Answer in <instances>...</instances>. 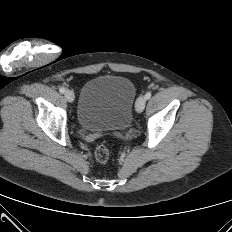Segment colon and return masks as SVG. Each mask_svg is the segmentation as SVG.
<instances>
[{
    "label": "colon",
    "instance_id": "5ec220e1",
    "mask_svg": "<svg viewBox=\"0 0 232 232\" xmlns=\"http://www.w3.org/2000/svg\"><path fill=\"white\" fill-rule=\"evenodd\" d=\"M110 157V148L106 144L99 145L95 150V158L98 162L104 163Z\"/></svg>",
    "mask_w": 232,
    "mask_h": 232
}]
</instances>
